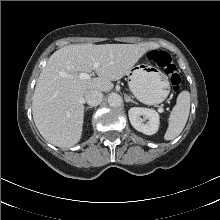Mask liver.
Segmentation results:
<instances>
[{
  "label": "liver",
  "mask_w": 220,
  "mask_h": 220,
  "mask_svg": "<svg viewBox=\"0 0 220 220\" xmlns=\"http://www.w3.org/2000/svg\"><path fill=\"white\" fill-rule=\"evenodd\" d=\"M156 43L138 44H72L55 51L42 69L32 101V114L40 134L49 143L69 148L82 136L84 95L88 90L108 92L112 81L129 74ZM95 62L100 66L94 69ZM98 77L82 80L80 73Z\"/></svg>",
  "instance_id": "obj_1"
}]
</instances>
